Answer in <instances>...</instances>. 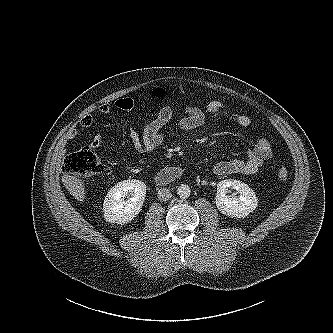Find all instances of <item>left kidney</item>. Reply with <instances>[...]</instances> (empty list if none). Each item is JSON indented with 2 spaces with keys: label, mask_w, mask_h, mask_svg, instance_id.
I'll return each mask as SVG.
<instances>
[{
  "label": "left kidney",
  "mask_w": 333,
  "mask_h": 333,
  "mask_svg": "<svg viewBox=\"0 0 333 333\" xmlns=\"http://www.w3.org/2000/svg\"><path fill=\"white\" fill-rule=\"evenodd\" d=\"M236 190V194L228 196L227 192ZM215 203L218 210L227 216L244 218L252 213L258 206L255 192L245 183L239 180H222L218 183Z\"/></svg>",
  "instance_id": "5707ae66"
}]
</instances>
